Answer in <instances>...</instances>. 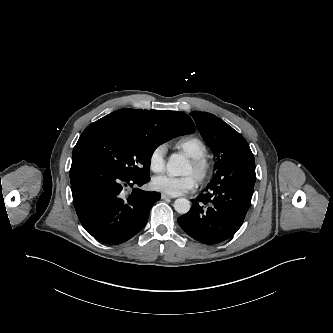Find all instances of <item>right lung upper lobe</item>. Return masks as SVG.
<instances>
[{
  "mask_svg": "<svg viewBox=\"0 0 333 333\" xmlns=\"http://www.w3.org/2000/svg\"><path fill=\"white\" fill-rule=\"evenodd\" d=\"M119 128L156 138L162 143L180 134L193 133L195 125L183 112L120 109L97 120L85 130Z\"/></svg>",
  "mask_w": 333,
  "mask_h": 333,
  "instance_id": "cb5924a9",
  "label": "right lung upper lobe"
}]
</instances>
